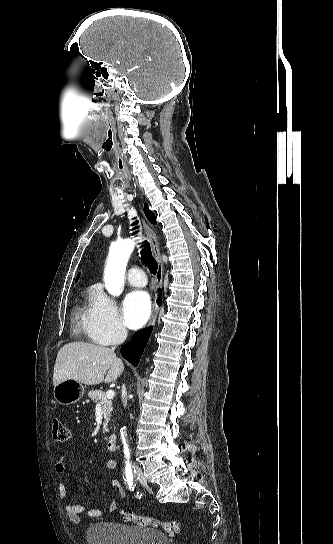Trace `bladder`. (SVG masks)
<instances>
[{"label":"bladder","instance_id":"31cf9c89","mask_svg":"<svg viewBox=\"0 0 333 544\" xmlns=\"http://www.w3.org/2000/svg\"><path fill=\"white\" fill-rule=\"evenodd\" d=\"M86 541L87 544H169L167 536L159 530L115 522L91 524Z\"/></svg>","mask_w":333,"mask_h":544}]
</instances>
